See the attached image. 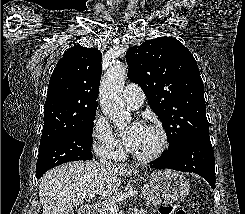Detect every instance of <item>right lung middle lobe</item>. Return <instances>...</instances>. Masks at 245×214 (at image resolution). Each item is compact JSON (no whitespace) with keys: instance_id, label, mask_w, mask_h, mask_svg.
Returning <instances> with one entry per match:
<instances>
[{"instance_id":"obj_1","label":"right lung middle lobe","mask_w":245,"mask_h":214,"mask_svg":"<svg viewBox=\"0 0 245 214\" xmlns=\"http://www.w3.org/2000/svg\"><path fill=\"white\" fill-rule=\"evenodd\" d=\"M96 110L74 125L41 136L36 175L66 162L92 158L90 149Z\"/></svg>"}]
</instances>
